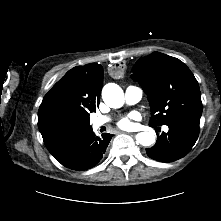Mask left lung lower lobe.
Segmentation results:
<instances>
[{"mask_svg": "<svg viewBox=\"0 0 221 221\" xmlns=\"http://www.w3.org/2000/svg\"><path fill=\"white\" fill-rule=\"evenodd\" d=\"M201 116L179 117L166 122L169 127L157 137L156 144L146 149L147 155L159 162H174L186 156L194 146L199 135ZM155 126V125H151ZM159 129V127H156Z\"/></svg>", "mask_w": 221, "mask_h": 221, "instance_id": "1", "label": "left lung lower lobe"}]
</instances>
